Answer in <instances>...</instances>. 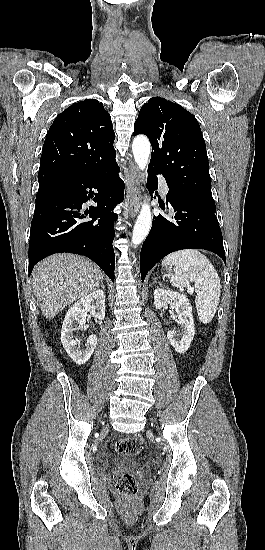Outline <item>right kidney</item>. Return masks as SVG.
I'll return each instance as SVG.
<instances>
[{"instance_id":"right-kidney-1","label":"right kidney","mask_w":265,"mask_h":550,"mask_svg":"<svg viewBox=\"0 0 265 550\" xmlns=\"http://www.w3.org/2000/svg\"><path fill=\"white\" fill-rule=\"evenodd\" d=\"M88 312L98 319H104L105 295L103 290L93 291L81 298L70 307L65 315L61 330V342L69 357L78 365H83L90 359L97 345L96 335H91L85 343L86 348L80 350L81 340L74 335V331L79 330L86 323ZM75 322L79 324V328H74Z\"/></svg>"}]
</instances>
